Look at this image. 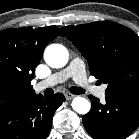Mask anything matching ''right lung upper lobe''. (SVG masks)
Segmentation results:
<instances>
[{"label":"right lung upper lobe","mask_w":139,"mask_h":139,"mask_svg":"<svg viewBox=\"0 0 139 139\" xmlns=\"http://www.w3.org/2000/svg\"><path fill=\"white\" fill-rule=\"evenodd\" d=\"M57 36L63 34L55 26L0 31V75L5 76L14 88L16 103L37 96L31 85L34 70L46 45Z\"/></svg>","instance_id":"cb5924a9"}]
</instances>
